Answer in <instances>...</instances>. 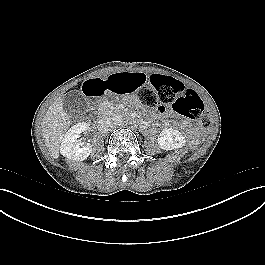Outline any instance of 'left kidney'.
I'll list each match as a JSON object with an SVG mask.
<instances>
[{
  "instance_id": "left-kidney-1",
  "label": "left kidney",
  "mask_w": 265,
  "mask_h": 265,
  "mask_svg": "<svg viewBox=\"0 0 265 265\" xmlns=\"http://www.w3.org/2000/svg\"><path fill=\"white\" fill-rule=\"evenodd\" d=\"M186 140L181 132L173 128H166L158 136V144L163 150H173L185 145Z\"/></svg>"
}]
</instances>
